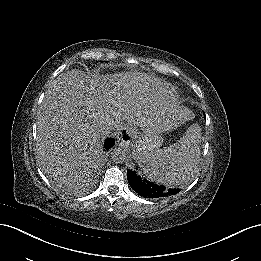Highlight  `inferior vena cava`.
Wrapping results in <instances>:
<instances>
[{"mask_svg":"<svg viewBox=\"0 0 261 261\" xmlns=\"http://www.w3.org/2000/svg\"><path fill=\"white\" fill-rule=\"evenodd\" d=\"M117 129V126L116 125H111V124H109L108 126H106V128H105V133H106V135H109V134H111L114 130H116Z\"/></svg>","mask_w":261,"mask_h":261,"instance_id":"inferior-vena-cava-1","label":"inferior vena cava"}]
</instances>
